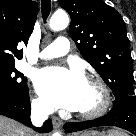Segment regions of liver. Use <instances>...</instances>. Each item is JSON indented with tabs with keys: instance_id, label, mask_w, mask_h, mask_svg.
Segmentation results:
<instances>
[{
	"instance_id": "liver-1",
	"label": "liver",
	"mask_w": 136,
	"mask_h": 136,
	"mask_svg": "<svg viewBox=\"0 0 136 136\" xmlns=\"http://www.w3.org/2000/svg\"><path fill=\"white\" fill-rule=\"evenodd\" d=\"M0 136H29V133L20 123L0 115Z\"/></svg>"
}]
</instances>
